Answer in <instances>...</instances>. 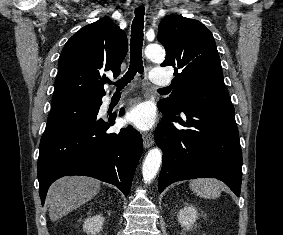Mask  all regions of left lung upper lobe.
<instances>
[{
  "instance_id": "left-lung-upper-lobe-1",
  "label": "left lung upper lobe",
  "mask_w": 283,
  "mask_h": 235,
  "mask_svg": "<svg viewBox=\"0 0 283 235\" xmlns=\"http://www.w3.org/2000/svg\"><path fill=\"white\" fill-rule=\"evenodd\" d=\"M157 39L166 50L161 66L175 67L171 95L158 108L178 113L184 106L232 105L212 33L199 21L167 15L159 24ZM179 69V71H178Z\"/></svg>"
}]
</instances>
